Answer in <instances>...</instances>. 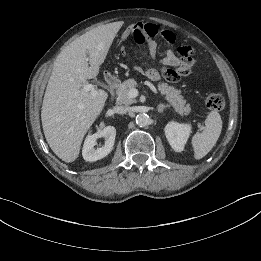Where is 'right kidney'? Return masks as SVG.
<instances>
[{
    "mask_svg": "<svg viewBox=\"0 0 261 261\" xmlns=\"http://www.w3.org/2000/svg\"><path fill=\"white\" fill-rule=\"evenodd\" d=\"M116 136V129L113 126H106L94 134L88 135L85 139L82 156L85 161L94 162L106 157L113 149ZM104 137L105 144L97 149L94 148L96 140Z\"/></svg>",
    "mask_w": 261,
    "mask_h": 261,
    "instance_id": "obj_1",
    "label": "right kidney"
}]
</instances>
